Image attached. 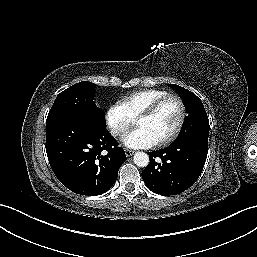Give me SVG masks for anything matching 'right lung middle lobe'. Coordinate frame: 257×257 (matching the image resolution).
Listing matches in <instances>:
<instances>
[{
	"mask_svg": "<svg viewBox=\"0 0 257 257\" xmlns=\"http://www.w3.org/2000/svg\"><path fill=\"white\" fill-rule=\"evenodd\" d=\"M94 87L93 83L82 81L62 91L55 99L47 118L77 113L106 128L104 111L97 108L94 102Z\"/></svg>",
	"mask_w": 257,
	"mask_h": 257,
	"instance_id": "dd1d6c3e",
	"label": "right lung middle lobe"
}]
</instances>
